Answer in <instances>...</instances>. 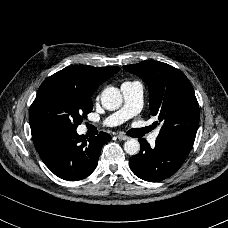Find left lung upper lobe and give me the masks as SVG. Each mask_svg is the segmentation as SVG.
<instances>
[{
    "instance_id": "5c2ea615",
    "label": "left lung upper lobe",
    "mask_w": 228,
    "mask_h": 228,
    "mask_svg": "<svg viewBox=\"0 0 228 228\" xmlns=\"http://www.w3.org/2000/svg\"><path fill=\"white\" fill-rule=\"evenodd\" d=\"M123 68L142 78L149 87L150 114L163 123L157 138L193 146L200 114L194 89L185 74L157 61Z\"/></svg>"
}]
</instances>
